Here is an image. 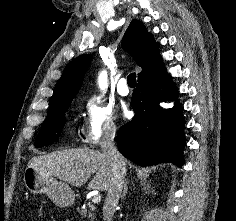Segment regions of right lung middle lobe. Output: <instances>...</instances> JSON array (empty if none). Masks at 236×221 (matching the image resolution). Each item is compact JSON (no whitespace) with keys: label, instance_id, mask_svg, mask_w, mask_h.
Instances as JSON below:
<instances>
[{"label":"right lung middle lobe","instance_id":"1","mask_svg":"<svg viewBox=\"0 0 236 221\" xmlns=\"http://www.w3.org/2000/svg\"><path fill=\"white\" fill-rule=\"evenodd\" d=\"M71 101L59 105L57 108L50 110L41 130L35 140L37 148L49 145L59 138L65 124V113L68 110Z\"/></svg>","mask_w":236,"mask_h":221}]
</instances>
